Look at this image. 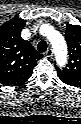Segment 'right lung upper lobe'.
<instances>
[{
    "label": "right lung upper lobe",
    "instance_id": "obj_1",
    "mask_svg": "<svg viewBox=\"0 0 81 124\" xmlns=\"http://www.w3.org/2000/svg\"><path fill=\"white\" fill-rule=\"evenodd\" d=\"M26 21L16 16L0 27V82L5 86H19L33 73L36 62L43 57L22 39Z\"/></svg>",
    "mask_w": 81,
    "mask_h": 124
}]
</instances>
